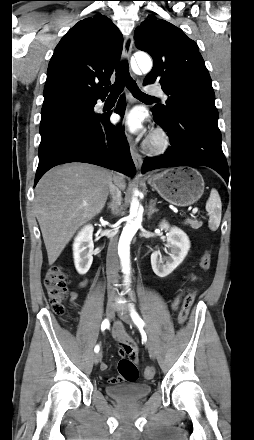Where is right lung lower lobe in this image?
Instances as JSON below:
<instances>
[{
    "mask_svg": "<svg viewBox=\"0 0 254 440\" xmlns=\"http://www.w3.org/2000/svg\"><path fill=\"white\" fill-rule=\"evenodd\" d=\"M105 97L87 99L94 108L97 100ZM124 111L122 97L114 112L123 116ZM109 117L110 113L94 114L92 109L70 117L42 137L34 187L49 169L69 162L95 164L134 176L136 169L124 131L111 124Z\"/></svg>",
    "mask_w": 254,
    "mask_h": 440,
    "instance_id": "obj_1",
    "label": "right lung lower lobe"
}]
</instances>
